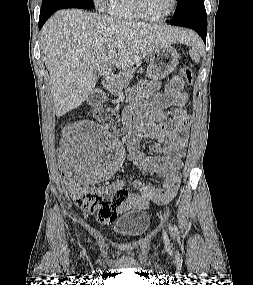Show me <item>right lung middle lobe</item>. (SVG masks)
Instances as JSON below:
<instances>
[{
    "label": "right lung middle lobe",
    "mask_w": 253,
    "mask_h": 285,
    "mask_svg": "<svg viewBox=\"0 0 253 285\" xmlns=\"http://www.w3.org/2000/svg\"><path fill=\"white\" fill-rule=\"evenodd\" d=\"M94 7L92 0H42L41 10L81 8L91 9Z\"/></svg>",
    "instance_id": "right-lung-middle-lobe-1"
}]
</instances>
